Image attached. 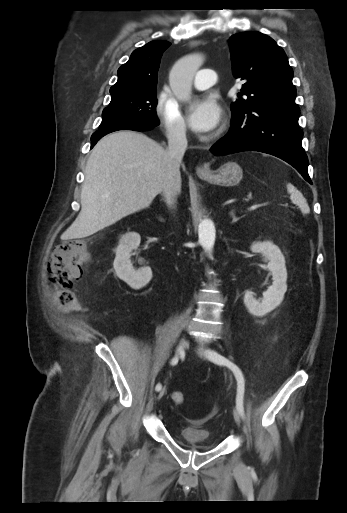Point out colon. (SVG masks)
Instances as JSON below:
<instances>
[{"label":"colon","mask_w":347,"mask_h":513,"mask_svg":"<svg viewBox=\"0 0 347 513\" xmlns=\"http://www.w3.org/2000/svg\"><path fill=\"white\" fill-rule=\"evenodd\" d=\"M91 255L83 240L74 239L59 245L49 260V272L54 284V292L59 306L73 308L77 305V299L73 292V284L78 280L83 267L90 261ZM172 401L182 406L185 396L179 390L171 393Z\"/></svg>","instance_id":"colon-1"}]
</instances>
